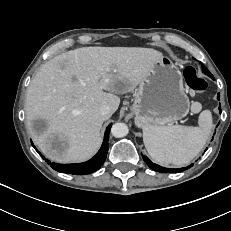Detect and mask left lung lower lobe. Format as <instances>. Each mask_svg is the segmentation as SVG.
Here are the masks:
<instances>
[{
	"instance_id": "1",
	"label": "left lung lower lobe",
	"mask_w": 231,
	"mask_h": 231,
	"mask_svg": "<svg viewBox=\"0 0 231 231\" xmlns=\"http://www.w3.org/2000/svg\"><path fill=\"white\" fill-rule=\"evenodd\" d=\"M212 79H214L213 77H212ZM217 98H218V100H220L219 98H220V95L218 94L217 95ZM219 110H221V108L219 107ZM142 157H143V159H144V161L146 162V164L151 168V169H153V170H155V171H157V172H160V173H178V172H182V171H184V170H186V169H189L192 165H190V166H188V167H184V168H178V169H171V168H164V167H161V166H159V165H157V164H155V163H152L146 156H143L142 155Z\"/></svg>"
}]
</instances>
